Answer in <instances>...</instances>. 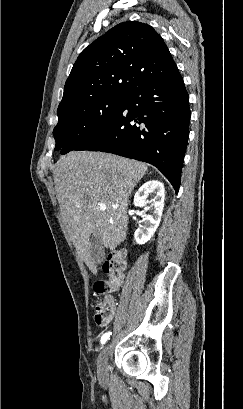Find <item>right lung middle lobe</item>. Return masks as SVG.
I'll return each mask as SVG.
<instances>
[{
  "label": "right lung middle lobe",
  "instance_id": "dd1d6c3e",
  "mask_svg": "<svg viewBox=\"0 0 243 409\" xmlns=\"http://www.w3.org/2000/svg\"><path fill=\"white\" fill-rule=\"evenodd\" d=\"M126 96L97 97L58 110L53 130L56 146L62 154L73 151L82 141L107 127L124 104Z\"/></svg>",
  "mask_w": 243,
  "mask_h": 409
}]
</instances>
